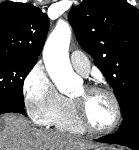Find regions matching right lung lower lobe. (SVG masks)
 <instances>
[{
	"label": "right lung lower lobe",
	"mask_w": 139,
	"mask_h": 150,
	"mask_svg": "<svg viewBox=\"0 0 139 150\" xmlns=\"http://www.w3.org/2000/svg\"><path fill=\"white\" fill-rule=\"evenodd\" d=\"M9 112L27 115L24 106L10 100H0V114Z\"/></svg>",
	"instance_id": "98d812e1"
}]
</instances>
